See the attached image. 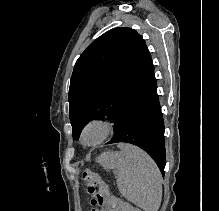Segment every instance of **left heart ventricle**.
Returning <instances> with one entry per match:
<instances>
[{"mask_svg": "<svg viewBox=\"0 0 219 211\" xmlns=\"http://www.w3.org/2000/svg\"><path fill=\"white\" fill-rule=\"evenodd\" d=\"M97 138V133L95 131H90L87 135H86V141L87 142H93L95 141Z\"/></svg>", "mask_w": 219, "mask_h": 211, "instance_id": "left-heart-ventricle-1", "label": "left heart ventricle"}]
</instances>
